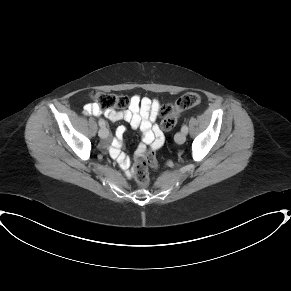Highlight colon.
Wrapping results in <instances>:
<instances>
[{
	"label": "colon",
	"mask_w": 291,
	"mask_h": 291,
	"mask_svg": "<svg viewBox=\"0 0 291 291\" xmlns=\"http://www.w3.org/2000/svg\"><path fill=\"white\" fill-rule=\"evenodd\" d=\"M92 99L101 111L127 105L126 96L112 92L95 91ZM201 99L197 93H186L180 96L174 104H165L160 107L159 113L162 118L163 130H171L177 123L180 113L200 103ZM161 141L157 140L150 148L140 149L135 157L134 175L137 184L146 188L150 183L148 165H155V151L160 147Z\"/></svg>",
	"instance_id": "5ec220e1"
}]
</instances>
